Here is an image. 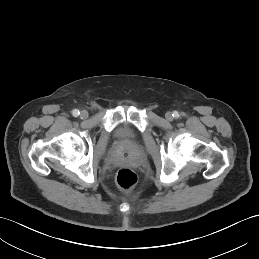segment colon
<instances>
[{"instance_id":"obj_1","label":"colon","mask_w":259,"mask_h":259,"mask_svg":"<svg viewBox=\"0 0 259 259\" xmlns=\"http://www.w3.org/2000/svg\"><path fill=\"white\" fill-rule=\"evenodd\" d=\"M116 181L122 190L129 191L135 186L137 176L131 169L122 168L117 173Z\"/></svg>"}]
</instances>
